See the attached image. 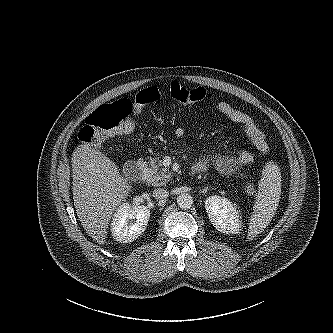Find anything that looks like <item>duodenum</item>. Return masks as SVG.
<instances>
[{
    "label": "duodenum",
    "mask_w": 333,
    "mask_h": 333,
    "mask_svg": "<svg viewBox=\"0 0 333 333\" xmlns=\"http://www.w3.org/2000/svg\"><path fill=\"white\" fill-rule=\"evenodd\" d=\"M200 172L198 168L194 167L191 170V175L193 176ZM124 174L132 181H140L144 176V164L136 160L128 161L124 166Z\"/></svg>",
    "instance_id": "duodenum-1"
}]
</instances>
